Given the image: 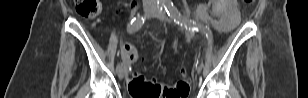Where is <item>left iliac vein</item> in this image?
Segmentation results:
<instances>
[{
    "mask_svg": "<svg viewBox=\"0 0 308 98\" xmlns=\"http://www.w3.org/2000/svg\"><path fill=\"white\" fill-rule=\"evenodd\" d=\"M154 15L162 20V21H165V22H169V19L166 17V15L164 14V12H158V8H154V11H153ZM202 70V64L201 62H197V71L198 72H201Z\"/></svg>",
    "mask_w": 308,
    "mask_h": 98,
    "instance_id": "4c4485c4",
    "label": "left iliac vein"
}]
</instances>
